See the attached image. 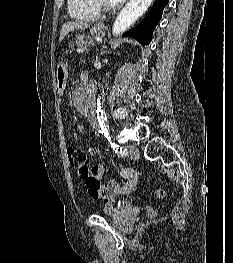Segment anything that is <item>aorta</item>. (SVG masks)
Wrapping results in <instances>:
<instances>
[{"label": "aorta", "mask_w": 233, "mask_h": 263, "mask_svg": "<svg viewBox=\"0 0 233 263\" xmlns=\"http://www.w3.org/2000/svg\"><path fill=\"white\" fill-rule=\"evenodd\" d=\"M153 0H130L117 16L113 25V34L118 36L135 23L149 8ZM78 110L91 122L99 124L105 131V113L103 110V90L97 80L83 83L76 97Z\"/></svg>", "instance_id": "aorta-1"}]
</instances>
